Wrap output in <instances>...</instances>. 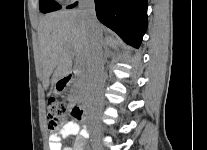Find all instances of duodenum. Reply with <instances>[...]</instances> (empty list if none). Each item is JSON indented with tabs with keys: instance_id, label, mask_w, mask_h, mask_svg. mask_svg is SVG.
I'll return each instance as SVG.
<instances>
[{
	"instance_id": "duodenum-1",
	"label": "duodenum",
	"mask_w": 207,
	"mask_h": 150,
	"mask_svg": "<svg viewBox=\"0 0 207 150\" xmlns=\"http://www.w3.org/2000/svg\"><path fill=\"white\" fill-rule=\"evenodd\" d=\"M71 80H72V75L67 74V75H65L64 77L61 78L60 84L63 87H66L71 83ZM77 110L81 114V117L82 116H87L89 114V110L86 107H78Z\"/></svg>"
}]
</instances>
